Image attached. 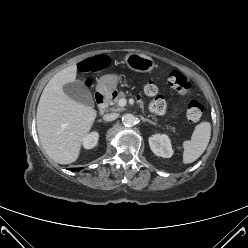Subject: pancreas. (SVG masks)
Returning <instances> with one entry per match:
<instances>
[{
  "instance_id": "cf45deb5",
  "label": "pancreas",
  "mask_w": 248,
  "mask_h": 248,
  "mask_svg": "<svg viewBox=\"0 0 248 248\" xmlns=\"http://www.w3.org/2000/svg\"><path fill=\"white\" fill-rule=\"evenodd\" d=\"M124 97H125V93L119 92L117 94V96L113 99V101H111V104L114 106L115 111H119L121 109L120 106L118 105V103H119V100L124 98ZM149 116L156 120V118L153 115H149ZM167 129H170L173 132L176 131L175 127H171V126L167 127Z\"/></svg>"
}]
</instances>
